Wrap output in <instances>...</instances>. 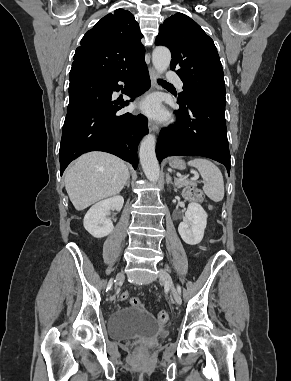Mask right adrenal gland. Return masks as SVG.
I'll return each instance as SVG.
<instances>
[{
	"label": "right adrenal gland",
	"instance_id": "obj_1",
	"mask_svg": "<svg viewBox=\"0 0 291 381\" xmlns=\"http://www.w3.org/2000/svg\"><path fill=\"white\" fill-rule=\"evenodd\" d=\"M126 185H127V187L130 186V175H129L128 179H127Z\"/></svg>",
	"mask_w": 291,
	"mask_h": 381
}]
</instances>
